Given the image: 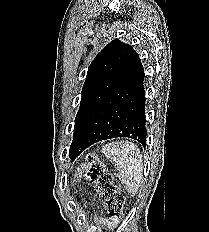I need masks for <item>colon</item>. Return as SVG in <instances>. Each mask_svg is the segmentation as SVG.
<instances>
[{"label": "colon", "mask_w": 209, "mask_h": 232, "mask_svg": "<svg viewBox=\"0 0 209 232\" xmlns=\"http://www.w3.org/2000/svg\"><path fill=\"white\" fill-rule=\"evenodd\" d=\"M85 177L105 201L109 217L119 219L123 214L125 197L100 159L88 158Z\"/></svg>", "instance_id": "obj_1"}]
</instances>
